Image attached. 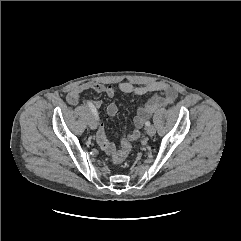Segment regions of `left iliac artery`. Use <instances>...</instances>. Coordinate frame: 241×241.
<instances>
[{"mask_svg":"<svg viewBox=\"0 0 241 241\" xmlns=\"http://www.w3.org/2000/svg\"><path fill=\"white\" fill-rule=\"evenodd\" d=\"M145 125H146V126H150V122H149V121H146Z\"/></svg>","mask_w":241,"mask_h":241,"instance_id":"left-iliac-artery-1","label":"left iliac artery"}]
</instances>
